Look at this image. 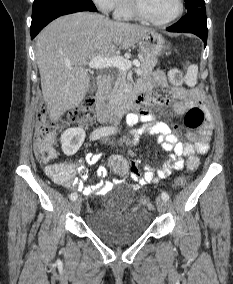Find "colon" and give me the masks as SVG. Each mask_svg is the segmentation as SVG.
<instances>
[{
    "label": "colon",
    "mask_w": 233,
    "mask_h": 284,
    "mask_svg": "<svg viewBox=\"0 0 233 284\" xmlns=\"http://www.w3.org/2000/svg\"><path fill=\"white\" fill-rule=\"evenodd\" d=\"M169 81L175 86L183 83V73L181 70L173 68L168 72ZM95 112V100L88 97L83 102L69 111L66 123L79 126H86L90 123ZM205 122V113L198 106L187 110L184 117V124L189 129H197ZM63 126L62 122L50 117L46 105L40 106L37 113V124L35 132L34 153L37 160L47 164L56 157L54 143L56 136ZM199 165V159L193 155L187 158L188 170H195ZM110 168L118 175L124 176L128 172L129 162L122 156H113L109 160ZM185 184V178L180 177L176 180V186L181 187ZM141 204L147 208L152 207V200L144 197Z\"/></svg>",
    "instance_id": "obj_1"
}]
</instances>
